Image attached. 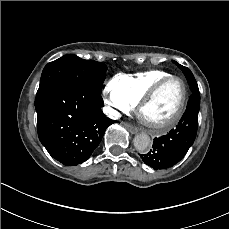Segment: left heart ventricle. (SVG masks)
<instances>
[{
    "label": "left heart ventricle",
    "mask_w": 229,
    "mask_h": 229,
    "mask_svg": "<svg viewBox=\"0 0 229 229\" xmlns=\"http://www.w3.org/2000/svg\"><path fill=\"white\" fill-rule=\"evenodd\" d=\"M185 102V88L181 80L162 86L146 104L148 119L156 124L166 123L175 118Z\"/></svg>",
    "instance_id": "b2bd125f"
}]
</instances>
